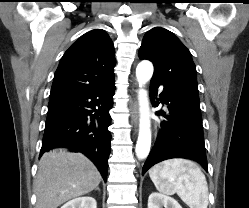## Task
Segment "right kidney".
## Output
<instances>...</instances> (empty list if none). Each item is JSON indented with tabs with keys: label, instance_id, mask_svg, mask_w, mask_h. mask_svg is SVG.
<instances>
[{
	"label": "right kidney",
	"instance_id": "1",
	"mask_svg": "<svg viewBox=\"0 0 249 208\" xmlns=\"http://www.w3.org/2000/svg\"><path fill=\"white\" fill-rule=\"evenodd\" d=\"M61 208H97V202L93 197H78L65 203Z\"/></svg>",
	"mask_w": 249,
	"mask_h": 208
}]
</instances>
